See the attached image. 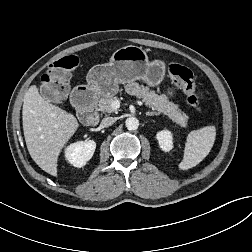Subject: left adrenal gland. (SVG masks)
Instances as JSON below:
<instances>
[{
  "label": "left adrenal gland",
  "instance_id": "1",
  "mask_svg": "<svg viewBox=\"0 0 252 252\" xmlns=\"http://www.w3.org/2000/svg\"><path fill=\"white\" fill-rule=\"evenodd\" d=\"M155 115H158V113H156V112H147L146 113V116H155Z\"/></svg>",
  "mask_w": 252,
  "mask_h": 252
}]
</instances>
